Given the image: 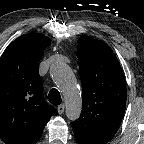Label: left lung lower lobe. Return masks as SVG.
Instances as JSON below:
<instances>
[{
    "mask_svg": "<svg viewBox=\"0 0 144 144\" xmlns=\"http://www.w3.org/2000/svg\"><path fill=\"white\" fill-rule=\"evenodd\" d=\"M76 141H77L79 144H89V143H87V142H83V141L78 140V139H76Z\"/></svg>",
    "mask_w": 144,
    "mask_h": 144,
    "instance_id": "1",
    "label": "left lung lower lobe"
}]
</instances>
